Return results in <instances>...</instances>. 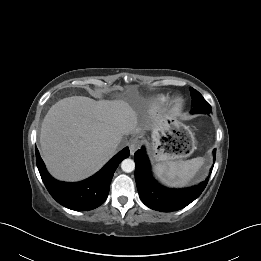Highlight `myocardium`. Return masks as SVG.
I'll use <instances>...</instances> for the list:
<instances>
[{"mask_svg":"<svg viewBox=\"0 0 261 261\" xmlns=\"http://www.w3.org/2000/svg\"><path fill=\"white\" fill-rule=\"evenodd\" d=\"M183 107V102L181 99H176L173 104V112L178 113Z\"/></svg>","mask_w":261,"mask_h":261,"instance_id":"1","label":"myocardium"}]
</instances>
